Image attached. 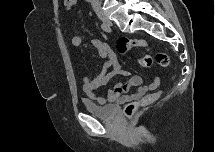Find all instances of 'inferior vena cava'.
<instances>
[{
	"label": "inferior vena cava",
	"mask_w": 215,
	"mask_h": 152,
	"mask_svg": "<svg viewBox=\"0 0 215 152\" xmlns=\"http://www.w3.org/2000/svg\"><path fill=\"white\" fill-rule=\"evenodd\" d=\"M93 3L97 4L99 2V0H92Z\"/></svg>",
	"instance_id": "obj_1"
}]
</instances>
